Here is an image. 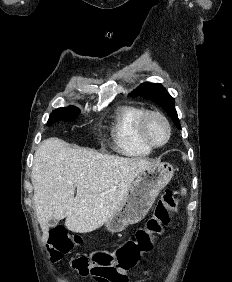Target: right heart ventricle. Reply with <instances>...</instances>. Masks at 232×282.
<instances>
[{"mask_svg":"<svg viewBox=\"0 0 232 282\" xmlns=\"http://www.w3.org/2000/svg\"><path fill=\"white\" fill-rule=\"evenodd\" d=\"M144 111L132 104L117 108L111 126L112 146L117 153L127 157H145L152 153L137 135V122Z\"/></svg>","mask_w":232,"mask_h":282,"instance_id":"obj_1","label":"right heart ventricle"}]
</instances>
